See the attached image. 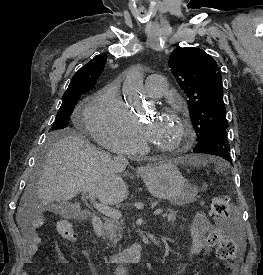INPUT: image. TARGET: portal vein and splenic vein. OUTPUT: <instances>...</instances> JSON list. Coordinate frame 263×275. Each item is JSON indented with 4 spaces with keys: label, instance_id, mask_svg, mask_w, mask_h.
Masks as SVG:
<instances>
[{
    "label": "portal vein and splenic vein",
    "instance_id": "18ae733b",
    "mask_svg": "<svg viewBox=\"0 0 263 275\" xmlns=\"http://www.w3.org/2000/svg\"><path fill=\"white\" fill-rule=\"evenodd\" d=\"M87 198L90 200L91 204H93L94 208L98 212H100V213H102V214H104V215H106L110 218H113V219H120L121 218L122 214L119 210L114 209L112 207H109L105 204L98 203L95 200V194L93 192H88ZM162 212H163V209H156V210H154L153 214L154 215H159Z\"/></svg>",
    "mask_w": 263,
    "mask_h": 275
}]
</instances>
